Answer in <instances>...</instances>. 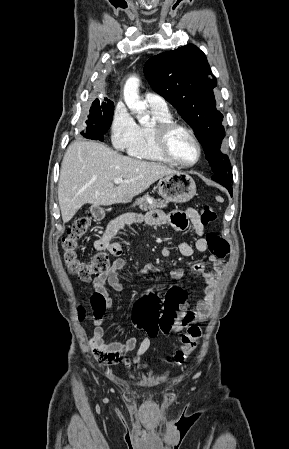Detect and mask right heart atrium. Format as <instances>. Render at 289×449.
<instances>
[{
    "instance_id": "right-heart-atrium-1",
    "label": "right heart atrium",
    "mask_w": 289,
    "mask_h": 449,
    "mask_svg": "<svg viewBox=\"0 0 289 449\" xmlns=\"http://www.w3.org/2000/svg\"><path fill=\"white\" fill-rule=\"evenodd\" d=\"M113 145L129 151L138 138V125L124 104L119 103L113 112L110 124Z\"/></svg>"
}]
</instances>
